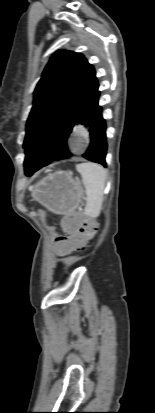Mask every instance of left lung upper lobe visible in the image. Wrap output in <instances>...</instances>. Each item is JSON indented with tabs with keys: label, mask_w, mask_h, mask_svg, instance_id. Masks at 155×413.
I'll return each instance as SVG.
<instances>
[{
	"label": "left lung upper lobe",
	"mask_w": 155,
	"mask_h": 413,
	"mask_svg": "<svg viewBox=\"0 0 155 413\" xmlns=\"http://www.w3.org/2000/svg\"><path fill=\"white\" fill-rule=\"evenodd\" d=\"M97 89L95 70L82 54L65 50L53 54L34 91L23 144L25 173L59 151L55 139L77 126Z\"/></svg>",
	"instance_id": "obj_1"
}]
</instances>
